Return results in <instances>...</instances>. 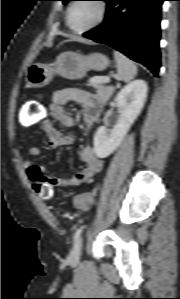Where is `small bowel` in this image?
<instances>
[{
  "instance_id": "small-bowel-1",
  "label": "small bowel",
  "mask_w": 180,
  "mask_h": 299,
  "mask_svg": "<svg viewBox=\"0 0 180 299\" xmlns=\"http://www.w3.org/2000/svg\"><path fill=\"white\" fill-rule=\"evenodd\" d=\"M71 102L78 103L84 108L83 119L85 125L88 128L94 127L99 120L102 104L93 93L80 88H67L55 92L49 103L51 117L66 127H73L75 121L64 109V106ZM41 129L47 134L48 145L52 148L69 145L74 141V135L72 133H63L48 119L41 122ZM39 154L40 150L38 147H29L28 156L30 158H35ZM80 156L85 164L83 170L66 176L56 177L47 175L46 170L43 167L36 166L30 161H26L24 166L27 178L34 183L50 182L61 187L79 186L99 173L103 168V160L96 156L91 146L83 147ZM78 196H76V198Z\"/></svg>"
}]
</instances>
